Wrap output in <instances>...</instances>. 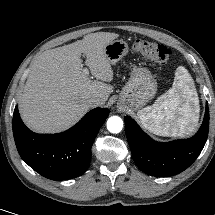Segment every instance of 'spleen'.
<instances>
[{"label": "spleen", "mask_w": 215, "mask_h": 215, "mask_svg": "<svg viewBox=\"0 0 215 215\" xmlns=\"http://www.w3.org/2000/svg\"><path fill=\"white\" fill-rule=\"evenodd\" d=\"M199 105L192 77L179 66L172 87L158 98L153 107L138 111L143 126L159 136H186L195 131Z\"/></svg>", "instance_id": "3e777b00"}]
</instances>
